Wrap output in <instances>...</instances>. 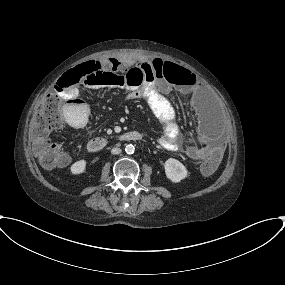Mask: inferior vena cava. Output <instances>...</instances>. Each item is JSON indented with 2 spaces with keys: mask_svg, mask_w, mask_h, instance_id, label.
<instances>
[{
  "mask_svg": "<svg viewBox=\"0 0 285 285\" xmlns=\"http://www.w3.org/2000/svg\"><path fill=\"white\" fill-rule=\"evenodd\" d=\"M111 153L114 154V155L120 154V153H121V149L115 147V148H113V149L111 150Z\"/></svg>",
  "mask_w": 285,
  "mask_h": 285,
  "instance_id": "602c4592",
  "label": "inferior vena cava"
}]
</instances>
